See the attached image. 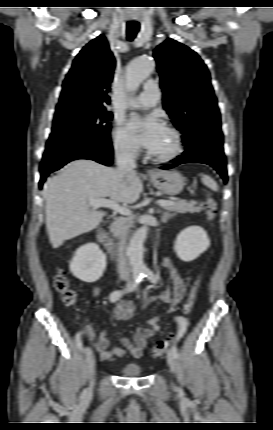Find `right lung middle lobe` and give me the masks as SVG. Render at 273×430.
<instances>
[{
	"mask_svg": "<svg viewBox=\"0 0 273 430\" xmlns=\"http://www.w3.org/2000/svg\"><path fill=\"white\" fill-rule=\"evenodd\" d=\"M112 117L105 108L83 104L56 108L43 159L86 147H110L111 124L108 121Z\"/></svg>",
	"mask_w": 273,
	"mask_h": 430,
	"instance_id": "dd1d6c3e",
	"label": "right lung middle lobe"
}]
</instances>
